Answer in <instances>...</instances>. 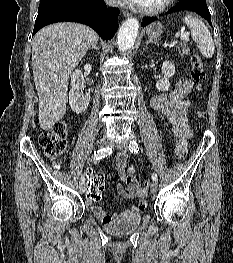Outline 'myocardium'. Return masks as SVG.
Listing matches in <instances>:
<instances>
[{
	"instance_id": "myocardium-1",
	"label": "myocardium",
	"mask_w": 233,
	"mask_h": 263,
	"mask_svg": "<svg viewBox=\"0 0 233 263\" xmlns=\"http://www.w3.org/2000/svg\"><path fill=\"white\" fill-rule=\"evenodd\" d=\"M172 0H163L160 4L154 7H144L141 5H137L138 11H140L143 14L147 15H155L158 13L163 12L165 9L168 8V6L171 4Z\"/></svg>"
}]
</instances>
